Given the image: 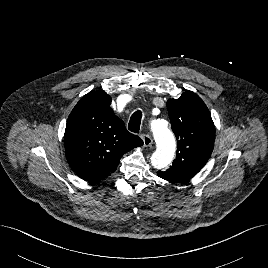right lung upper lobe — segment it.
Wrapping results in <instances>:
<instances>
[{
    "label": "right lung upper lobe",
    "instance_id": "right-lung-upper-lobe-1",
    "mask_svg": "<svg viewBox=\"0 0 268 268\" xmlns=\"http://www.w3.org/2000/svg\"><path fill=\"white\" fill-rule=\"evenodd\" d=\"M111 101L104 91L86 94L72 110L66 124L67 161L80 178L90 182L111 175L123 154L143 145L114 114Z\"/></svg>",
    "mask_w": 268,
    "mask_h": 268
}]
</instances>
